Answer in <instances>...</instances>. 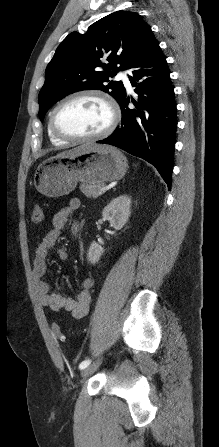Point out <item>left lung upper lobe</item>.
Returning <instances> with one entry per match:
<instances>
[{"instance_id":"left-lung-upper-lobe-1","label":"left lung upper lobe","mask_w":219,"mask_h":447,"mask_svg":"<svg viewBox=\"0 0 219 447\" xmlns=\"http://www.w3.org/2000/svg\"><path fill=\"white\" fill-rule=\"evenodd\" d=\"M152 34L140 15L127 11L105 16L85 34H69L46 68L38 97L40 120L54 103L81 90L99 89L120 103L125 88L121 81H109V77L126 70Z\"/></svg>"}]
</instances>
